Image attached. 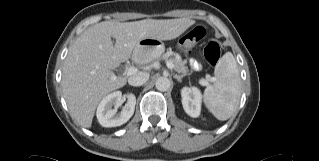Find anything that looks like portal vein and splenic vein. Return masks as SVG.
<instances>
[{
    "label": "portal vein and splenic vein",
    "mask_w": 319,
    "mask_h": 161,
    "mask_svg": "<svg viewBox=\"0 0 319 161\" xmlns=\"http://www.w3.org/2000/svg\"><path fill=\"white\" fill-rule=\"evenodd\" d=\"M166 65H167V67L169 68V69H173L174 68V65H173V63H171L170 61H167L166 62ZM136 68H134V67H129V68H127V70H126V73H127V75H133L134 73H136ZM209 81H213V78L212 77H210V76H207L206 77V79H201L199 82H200V84L201 85H207L208 84V82Z\"/></svg>",
    "instance_id": "1"
}]
</instances>
